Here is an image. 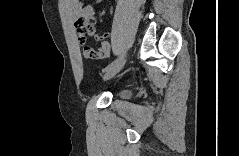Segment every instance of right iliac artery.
<instances>
[{"label": "right iliac artery", "mask_w": 239, "mask_h": 156, "mask_svg": "<svg viewBox=\"0 0 239 156\" xmlns=\"http://www.w3.org/2000/svg\"><path fill=\"white\" fill-rule=\"evenodd\" d=\"M124 57V53H122L116 60L111 62L103 71H107L110 67L114 66L118 61H120Z\"/></svg>", "instance_id": "82829eb1"}]
</instances>
